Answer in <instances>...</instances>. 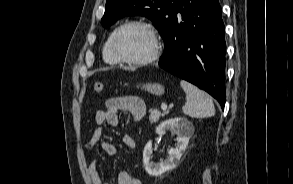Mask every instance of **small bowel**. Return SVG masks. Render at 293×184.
Returning a JSON list of instances; mask_svg holds the SVG:
<instances>
[{
    "mask_svg": "<svg viewBox=\"0 0 293 184\" xmlns=\"http://www.w3.org/2000/svg\"><path fill=\"white\" fill-rule=\"evenodd\" d=\"M121 112L128 113L134 122H140L146 114V105L141 98L136 96L115 97L109 98L105 102V108L95 113L94 120L96 128L84 147L90 157L88 172L92 184H108L103 181L98 171L97 161L92 157V149L100 142L101 149L104 153L109 156L115 155V146L109 141L102 140L103 126H117L119 123V113ZM122 141L129 148L135 147V140L129 134L124 135ZM117 184H142V182L129 172L122 171L118 175Z\"/></svg>",
    "mask_w": 293,
    "mask_h": 184,
    "instance_id": "1",
    "label": "small bowel"
}]
</instances>
